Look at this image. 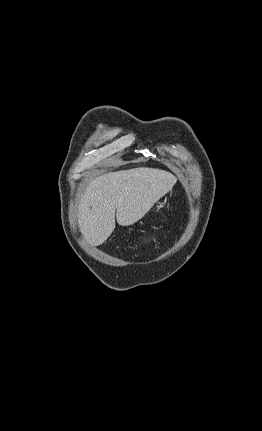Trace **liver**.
I'll use <instances>...</instances> for the list:
<instances>
[{"label": "liver", "instance_id": "6515ba94", "mask_svg": "<svg viewBox=\"0 0 262 431\" xmlns=\"http://www.w3.org/2000/svg\"><path fill=\"white\" fill-rule=\"evenodd\" d=\"M176 177L147 167L111 172L94 179L81 196L78 224L91 245L104 243L119 225L139 221L153 205L172 190Z\"/></svg>", "mask_w": 262, "mask_h": 431}]
</instances>
